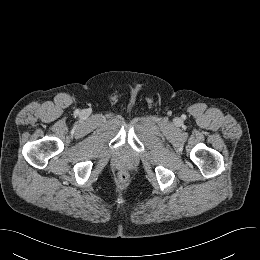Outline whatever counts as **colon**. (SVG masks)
Wrapping results in <instances>:
<instances>
[{"label": "colon", "mask_w": 260, "mask_h": 260, "mask_svg": "<svg viewBox=\"0 0 260 260\" xmlns=\"http://www.w3.org/2000/svg\"><path fill=\"white\" fill-rule=\"evenodd\" d=\"M119 178H120V180L125 181L126 178H127V176H126V174H125L124 172H121V173L119 174Z\"/></svg>", "instance_id": "obj_1"}]
</instances>
